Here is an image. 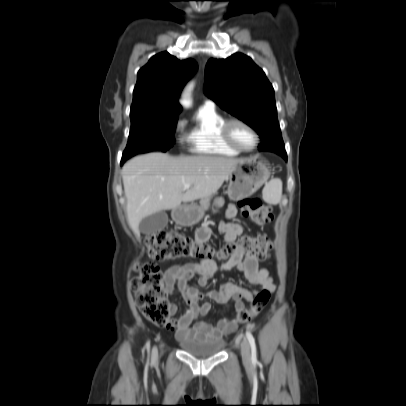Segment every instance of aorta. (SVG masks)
Wrapping results in <instances>:
<instances>
[{
    "mask_svg": "<svg viewBox=\"0 0 406 406\" xmlns=\"http://www.w3.org/2000/svg\"><path fill=\"white\" fill-rule=\"evenodd\" d=\"M193 86H194L193 83L190 82L186 86V88H185V90H184V92L182 94V97L180 99V103H181V105L183 107H190L192 105V100L190 98V93H191V90L193 89Z\"/></svg>",
    "mask_w": 406,
    "mask_h": 406,
    "instance_id": "1",
    "label": "aorta"
}]
</instances>
